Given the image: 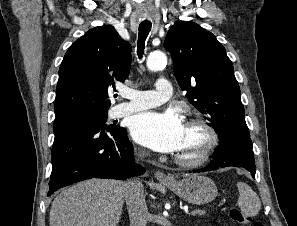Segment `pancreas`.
<instances>
[{"label":"pancreas","instance_id":"cf45deb5","mask_svg":"<svg viewBox=\"0 0 297 226\" xmlns=\"http://www.w3.org/2000/svg\"><path fill=\"white\" fill-rule=\"evenodd\" d=\"M196 214L203 215V214H205V211H197Z\"/></svg>","mask_w":297,"mask_h":226}]
</instances>
